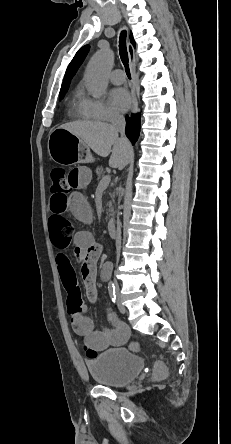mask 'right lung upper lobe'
I'll return each instance as SVG.
<instances>
[{
    "label": "right lung upper lobe",
    "instance_id": "cb5924a9",
    "mask_svg": "<svg viewBox=\"0 0 231 444\" xmlns=\"http://www.w3.org/2000/svg\"><path fill=\"white\" fill-rule=\"evenodd\" d=\"M130 41H131L132 45L135 46V41L133 39L132 33L130 34ZM89 48H90V46L86 45L78 50V52L76 53V55L74 56L73 60L71 61V63L69 64V66L67 68V71H66L65 77H64V81L61 86V90L68 89L71 79L73 78V76L77 72L78 68L80 67V65L84 61V59L89 51Z\"/></svg>",
    "mask_w": 231,
    "mask_h": 444
}]
</instances>
